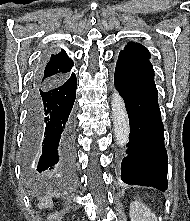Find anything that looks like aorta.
<instances>
[{
    "label": "aorta",
    "instance_id": "obj_1",
    "mask_svg": "<svg viewBox=\"0 0 190 221\" xmlns=\"http://www.w3.org/2000/svg\"><path fill=\"white\" fill-rule=\"evenodd\" d=\"M111 105L116 142L124 146L129 141V119L125 103L117 91L112 95Z\"/></svg>",
    "mask_w": 190,
    "mask_h": 221
}]
</instances>
